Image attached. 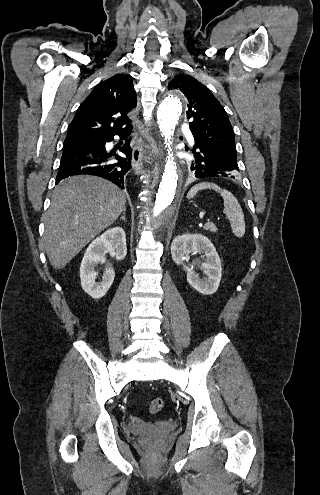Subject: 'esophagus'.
<instances>
[{
    "mask_svg": "<svg viewBox=\"0 0 320 495\" xmlns=\"http://www.w3.org/2000/svg\"><path fill=\"white\" fill-rule=\"evenodd\" d=\"M160 151V145L154 144L151 148V153L156 156ZM142 159H143V148L142 146H137L134 148L132 153V167L137 173L142 172Z\"/></svg>",
    "mask_w": 320,
    "mask_h": 495,
    "instance_id": "esophagus-1",
    "label": "esophagus"
}]
</instances>
